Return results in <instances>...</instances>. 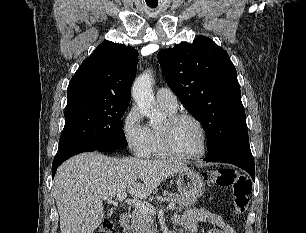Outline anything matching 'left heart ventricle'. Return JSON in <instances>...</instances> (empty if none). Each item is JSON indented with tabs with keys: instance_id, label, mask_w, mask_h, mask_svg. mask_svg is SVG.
<instances>
[{
	"instance_id": "obj_1",
	"label": "left heart ventricle",
	"mask_w": 306,
	"mask_h": 233,
	"mask_svg": "<svg viewBox=\"0 0 306 233\" xmlns=\"http://www.w3.org/2000/svg\"><path fill=\"white\" fill-rule=\"evenodd\" d=\"M172 139L176 149L185 154L197 153L202 146L201 132L191 120L179 122L173 129Z\"/></svg>"
}]
</instances>
